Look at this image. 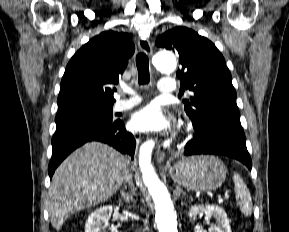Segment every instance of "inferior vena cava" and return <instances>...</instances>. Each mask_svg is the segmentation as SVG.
Segmentation results:
<instances>
[{"mask_svg": "<svg viewBox=\"0 0 289 232\" xmlns=\"http://www.w3.org/2000/svg\"><path fill=\"white\" fill-rule=\"evenodd\" d=\"M124 180L126 183H131L132 181V175L129 173V171H127L124 175Z\"/></svg>", "mask_w": 289, "mask_h": 232, "instance_id": "obj_1", "label": "inferior vena cava"}]
</instances>
